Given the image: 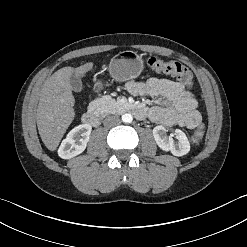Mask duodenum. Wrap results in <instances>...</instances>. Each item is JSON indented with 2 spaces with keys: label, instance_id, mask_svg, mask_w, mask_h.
<instances>
[{
  "label": "duodenum",
  "instance_id": "1",
  "mask_svg": "<svg viewBox=\"0 0 247 247\" xmlns=\"http://www.w3.org/2000/svg\"><path fill=\"white\" fill-rule=\"evenodd\" d=\"M132 112L137 118H143L146 114L145 109L139 106H132ZM82 121L84 124L97 127L100 123L99 115L96 110L90 109L82 116Z\"/></svg>",
  "mask_w": 247,
  "mask_h": 247
}]
</instances>
